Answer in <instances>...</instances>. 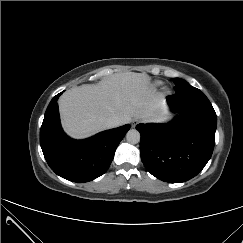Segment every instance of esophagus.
Returning a JSON list of instances; mask_svg holds the SVG:
<instances>
[{
	"label": "esophagus",
	"mask_w": 243,
	"mask_h": 243,
	"mask_svg": "<svg viewBox=\"0 0 243 243\" xmlns=\"http://www.w3.org/2000/svg\"><path fill=\"white\" fill-rule=\"evenodd\" d=\"M131 123H132V127H135V126L139 123V120L136 119V118H134V119L131 121Z\"/></svg>",
	"instance_id": "esophagus-1"
}]
</instances>
